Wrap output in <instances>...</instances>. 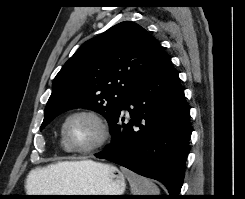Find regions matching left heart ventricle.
Returning a JSON list of instances; mask_svg holds the SVG:
<instances>
[{"mask_svg": "<svg viewBox=\"0 0 245 199\" xmlns=\"http://www.w3.org/2000/svg\"><path fill=\"white\" fill-rule=\"evenodd\" d=\"M67 135L74 146L84 148L97 142L100 137V129L91 118L78 116L69 122Z\"/></svg>", "mask_w": 245, "mask_h": 199, "instance_id": "left-heart-ventricle-1", "label": "left heart ventricle"}]
</instances>
